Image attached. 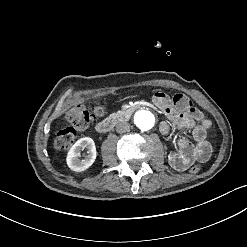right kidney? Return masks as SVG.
I'll use <instances>...</instances> for the list:
<instances>
[{"label": "right kidney", "instance_id": "obj_1", "mask_svg": "<svg viewBox=\"0 0 247 247\" xmlns=\"http://www.w3.org/2000/svg\"><path fill=\"white\" fill-rule=\"evenodd\" d=\"M88 149L84 159L80 158L82 150ZM97 151L94 140L91 137H82L68 150L66 155L67 166L74 172L87 170L96 160Z\"/></svg>", "mask_w": 247, "mask_h": 247}]
</instances>
